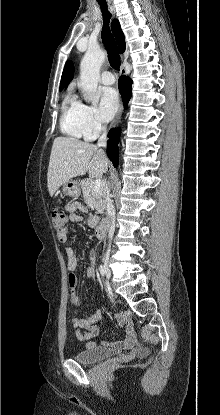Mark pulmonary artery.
<instances>
[{
  "mask_svg": "<svg viewBox=\"0 0 220 415\" xmlns=\"http://www.w3.org/2000/svg\"><path fill=\"white\" fill-rule=\"evenodd\" d=\"M101 82L104 84V85H112V84H114L115 83V76H114V74L112 73V72H110V71H104L102 74H101ZM93 138H91V139H89V140H92Z\"/></svg>",
  "mask_w": 220,
  "mask_h": 415,
  "instance_id": "e3ab8cb5",
  "label": "pulmonary artery"
}]
</instances>
